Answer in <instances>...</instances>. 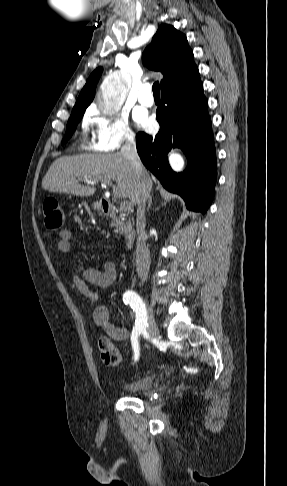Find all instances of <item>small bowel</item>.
<instances>
[{
  "label": "small bowel",
  "instance_id": "c3829d8e",
  "mask_svg": "<svg viewBox=\"0 0 287 486\" xmlns=\"http://www.w3.org/2000/svg\"><path fill=\"white\" fill-rule=\"evenodd\" d=\"M59 241L57 249L61 254L68 255L72 251L73 235L68 229H62L59 232ZM72 275V282L75 288L92 302L99 299L98 293L90 285L98 287H107L111 285L117 277V268L114 263L106 262L103 270L86 269L82 275L77 274L72 268H69ZM93 319L97 326L101 327L110 337L117 341H124L129 338L128 330L118 328L111 322V314L106 306L99 305L94 309ZM132 342V340H131Z\"/></svg>",
  "mask_w": 287,
  "mask_h": 486
}]
</instances>
